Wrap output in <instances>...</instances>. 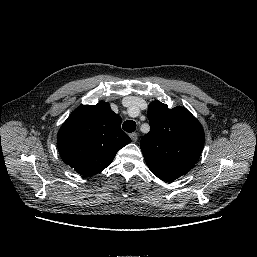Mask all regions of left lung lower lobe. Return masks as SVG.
Segmentation results:
<instances>
[{
    "instance_id": "obj_1",
    "label": "left lung lower lobe",
    "mask_w": 257,
    "mask_h": 257,
    "mask_svg": "<svg viewBox=\"0 0 257 257\" xmlns=\"http://www.w3.org/2000/svg\"><path fill=\"white\" fill-rule=\"evenodd\" d=\"M158 178H160L161 180L163 181H173L175 180V178H172V177H168V176H163V175H158V174H155Z\"/></svg>"
}]
</instances>
